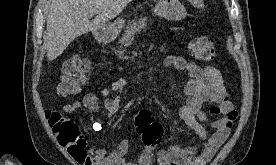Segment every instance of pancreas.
Wrapping results in <instances>:
<instances>
[{
  "label": "pancreas",
  "instance_id": "pancreas-1",
  "mask_svg": "<svg viewBox=\"0 0 276 165\" xmlns=\"http://www.w3.org/2000/svg\"><path fill=\"white\" fill-rule=\"evenodd\" d=\"M147 26V17H141L140 19L129 21L125 28L124 34L119 40L121 50H119L118 53L123 54L125 49L132 44L134 36L141 32L142 29H146Z\"/></svg>",
  "mask_w": 276,
  "mask_h": 165
}]
</instances>
